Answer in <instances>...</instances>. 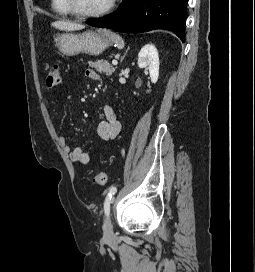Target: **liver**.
I'll return each mask as SVG.
<instances>
[{
    "label": "liver",
    "mask_w": 255,
    "mask_h": 272,
    "mask_svg": "<svg viewBox=\"0 0 255 272\" xmlns=\"http://www.w3.org/2000/svg\"><path fill=\"white\" fill-rule=\"evenodd\" d=\"M56 29L62 30V31H76L81 30L84 28V25L65 21V20H59L55 21L51 24Z\"/></svg>",
    "instance_id": "1"
}]
</instances>
